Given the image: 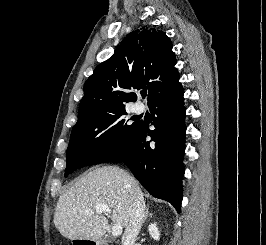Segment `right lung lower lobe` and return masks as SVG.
<instances>
[{"label":"right lung lower lobe","mask_w":266,"mask_h":245,"mask_svg":"<svg viewBox=\"0 0 266 245\" xmlns=\"http://www.w3.org/2000/svg\"><path fill=\"white\" fill-rule=\"evenodd\" d=\"M183 94L178 81L154 97L148 106L155 129L148 130V124L138 122L131 144L110 160L124 162L152 196L170 202L178 213L183 196L186 133ZM148 136L152 143L146 141Z\"/></svg>","instance_id":"1"}]
</instances>
